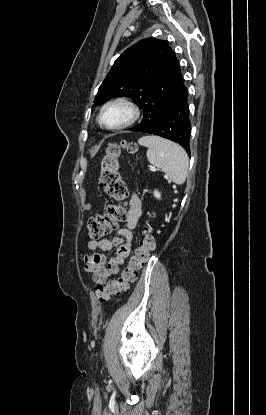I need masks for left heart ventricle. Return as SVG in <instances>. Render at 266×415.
<instances>
[{
	"mask_svg": "<svg viewBox=\"0 0 266 415\" xmlns=\"http://www.w3.org/2000/svg\"><path fill=\"white\" fill-rule=\"evenodd\" d=\"M129 117L128 110L121 105L111 106L103 114V121L109 126H116L125 122Z\"/></svg>",
	"mask_w": 266,
	"mask_h": 415,
	"instance_id": "1",
	"label": "left heart ventricle"
}]
</instances>
